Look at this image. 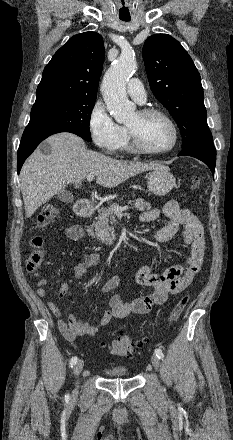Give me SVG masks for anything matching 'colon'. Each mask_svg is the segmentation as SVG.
I'll list each match as a JSON object with an SVG mask.
<instances>
[{
    "label": "colon",
    "instance_id": "obj_1",
    "mask_svg": "<svg viewBox=\"0 0 233 440\" xmlns=\"http://www.w3.org/2000/svg\"><path fill=\"white\" fill-rule=\"evenodd\" d=\"M201 179L199 176L194 175L190 178V186L192 189H197L200 186ZM59 215V209L55 205L44 206L38 215V226L46 227L53 221L57 219ZM30 247L32 248L29 257L27 259L26 268L28 272L35 273L43 261V251L42 244L43 240L41 237L33 236L29 241ZM189 297L183 296L173 307L169 314V322L173 323L182 315L186 306L188 305ZM101 345L106 346L107 343L102 342ZM144 341H138L134 343L128 335L119 331L116 333V338L108 345L112 354L131 358L135 354V347H142Z\"/></svg>",
    "mask_w": 233,
    "mask_h": 440
}]
</instances>
